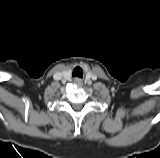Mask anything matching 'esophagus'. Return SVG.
I'll list each match as a JSON object with an SVG mask.
<instances>
[{
	"label": "esophagus",
	"mask_w": 160,
	"mask_h": 158,
	"mask_svg": "<svg viewBox=\"0 0 160 158\" xmlns=\"http://www.w3.org/2000/svg\"><path fill=\"white\" fill-rule=\"evenodd\" d=\"M75 82L78 84H81V80L80 79H75Z\"/></svg>",
	"instance_id": "34e87169"
}]
</instances>
